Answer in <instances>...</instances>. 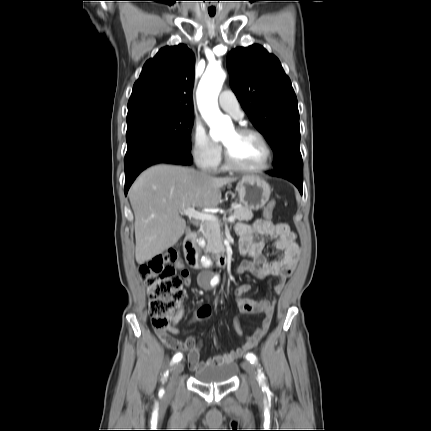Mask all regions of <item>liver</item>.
<instances>
[{
  "instance_id": "1",
  "label": "liver",
  "mask_w": 431,
  "mask_h": 431,
  "mask_svg": "<svg viewBox=\"0 0 431 431\" xmlns=\"http://www.w3.org/2000/svg\"><path fill=\"white\" fill-rule=\"evenodd\" d=\"M236 180L165 164L145 170L128 194L135 215L137 263L151 260L178 242L186 229L183 210L217 207L220 189Z\"/></svg>"
}]
</instances>
